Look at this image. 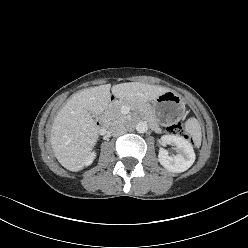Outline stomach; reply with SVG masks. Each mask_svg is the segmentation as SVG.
Instances as JSON below:
<instances>
[{
	"label": "stomach",
	"mask_w": 248,
	"mask_h": 248,
	"mask_svg": "<svg viewBox=\"0 0 248 248\" xmlns=\"http://www.w3.org/2000/svg\"><path fill=\"white\" fill-rule=\"evenodd\" d=\"M160 124H171L180 119L185 111V104L179 94L166 91L153 100L149 107Z\"/></svg>",
	"instance_id": "stomach-1"
}]
</instances>
